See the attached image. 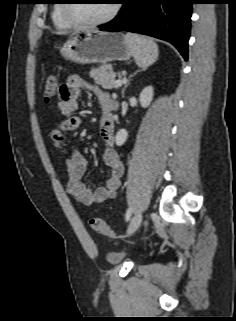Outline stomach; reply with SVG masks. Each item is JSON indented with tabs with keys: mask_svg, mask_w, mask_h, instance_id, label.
I'll return each mask as SVG.
<instances>
[{
	"mask_svg": "<svg viewBox=\"0 0 236 321\" xmlns=\"http://www.w3.org/2000/svg\"><path fill=\"white\" fill-rule=\"evenodd\" d=\"M61 55L80 64L127 61L132 50L117 32L84 31L72 35L60 49Z\"/></svg>",
	"mask_w": 236,
	"mask_h": 321,
	"instance_id": "1",
	"label": "stomach"
}]
</instances>
